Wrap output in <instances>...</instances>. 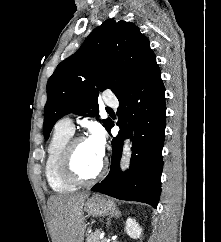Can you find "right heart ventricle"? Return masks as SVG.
<instances>
[{
    "instance_id": "right-heart-ventricle-1",
    "label": "right heart ventricle",
    "mask_w": 221,
    "mask_h": 242,
    "mask_svg": "<svg viewBox=\"0 0 221 242\" xmlns=\"http://www.w3.org/2000/svg\"><path fill=\"white\" fill-rule=\"evenodd\" d=\"M72 134L57 126L46 148L44 162L45 178L49 187L57 193L73 191L77 185L64 179L60 172V163L64 149Z\"/></svg>"
}]
</instances>
